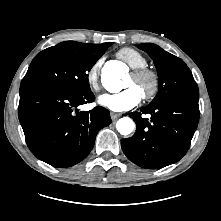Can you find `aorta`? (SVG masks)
<instances>
[{
    "instance_id": "1",
    "label": "aorta",
    "mask_w": 221,
    "mask_h": 221,
    "mask_svg": "<svg viewBox=\"0 0 221 221\" xmlns=\"http://www.w3.org/2000/svg\"><path fill=\"white\" fill-rule=\"evenodd\" d=\"M125 75V70L118 65L106 64L102 70V82L104 87L110 92H118L123 84L121 79ZM117 131L121 135H129L135 128L134 121L129 117H123L116 123Z\"/></svg>"
}]
</instances>
